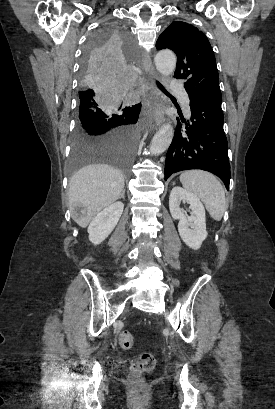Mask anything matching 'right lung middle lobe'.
I'll return each mask as SVG.
<instances>
[{
	"label": "right lung middle lobe",
	"instance_id": "right-lung-middle-lobe-1",
	"mask_svg": "<svg viewBox=\"0 0 275 409\" xmlns=\"http://www.w3.org/2000/svg\"><path fill=\"white\" fill-rule=\"evenodd\" d=\"M136 43L122 24H100L87 41L81 70L79 106L71 142L68 172L77 176L80 167L114 164L129 178L137 155L140 131L137 120L141 105L129 107L125 91L128 66Z\"/></svg>",
	"mask_w": 275,
	"mask_h": 409
}]
</instances>
